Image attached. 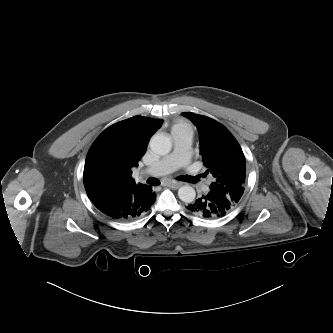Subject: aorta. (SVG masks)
Here are the masks:
<instances>
[{"label":"aorta","instance_id":"1","mask_svg":"<svg viewBox=\"0 0 333 333\" xmlns=\"http://www.w3.org/2000/svg\"><path fill=\"white\" fill-rule=\"evenodd\" d=\"M172 143L169 137L163 134H156L150 140L151 150L158 155H166L170 152ZM178 196L181 201L191 203L196 197L195 189L189 185L179 188Z\"/></svg>","mask_w":333,"mask_h":333}]
</instances>
